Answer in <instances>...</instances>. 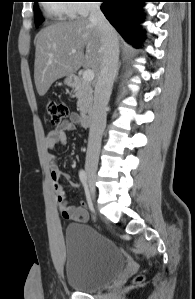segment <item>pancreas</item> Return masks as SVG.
Returning <instances> with one entry per match:
<instances>
[{
    "label": "pancreas",
    "mask_w": 195,
    "mask_h": 299,
    "mask_svg": "<svg viewBox=\"0 0 195 299\" xmlns=\"http://www.w3.org/2000/svg\"><path fill=\"white\" fill-rule=\"evenodd\" d=\"M75 97L78 99L77 108L82 115L90 111L93 103V89L91 83L80 79L74 90Z\"/></svg>",
    "instance_id": "obj_1"
}]
</instances>
